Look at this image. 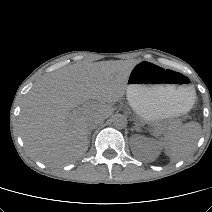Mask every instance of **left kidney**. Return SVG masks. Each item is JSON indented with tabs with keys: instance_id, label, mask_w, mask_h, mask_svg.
<instances>
[{
	"instance_id": "5707ae66",
	"label": "left kidney",
	"mask_w": 212,
	"mask_h": 212,
	"mask_svg": "<svg viewBox=\"0 0 212 212\" xmlns=\"http://www.w3.org/2000/svg\"><path fill=\"white\" fill-rule=\"evenodd\" d=\"M133 140H135L137 144V147L134 149V154L138 158L143 160H154L158 156L160 146L156 140L141 135L133 136Z\"/></svg>"
}]
</instances>
